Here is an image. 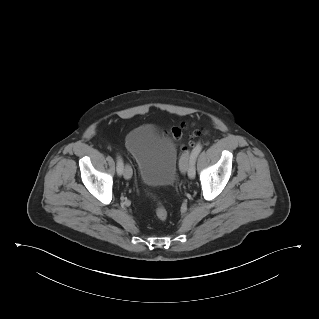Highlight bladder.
<instances>
[{
	"label": "bladder",
	"mask_w": 319,
	"mask_h": 319,
	"mask_svg": "<svg viewBox=\"0 0 319 319\" xmlns=\"http://www.w3.org/2000/svg\"><path fill=\"white\" fill-rule=\"evenodd\" d=\"M134 157L140 181L149 186L166 187L176 177L178 147L169 136H159L150 124L131 129L125 138Z\"/></svg>",
	"instance_id": "31cf9c89"
}]
</instances>
